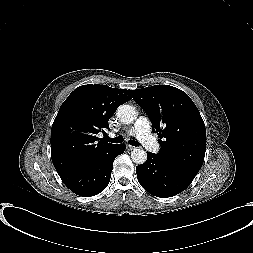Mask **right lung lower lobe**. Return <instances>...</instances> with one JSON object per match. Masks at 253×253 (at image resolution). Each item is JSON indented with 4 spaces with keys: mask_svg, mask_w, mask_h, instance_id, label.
Listing matches in <instances>:
<instances>
[{
    "mask_svg": "<svg viewBox=\"0 0 253 253\" xmlns=\"http://www.w3.org/2000/svg\"><path fill=\"white\" fill-rule=\"evenodd\" d=\"M125 148L123 144H114L84 166L59 176L75 194L83 197L97 195L109 184L114 159Z\"/></svg>",
    "mask_w": 253,
    "mask_h": 253,
    "instance_id": "98d812e1",
    "label": "right lung lower lobe"
}]
</instances>
